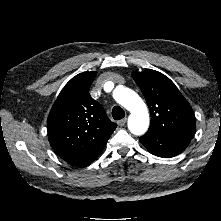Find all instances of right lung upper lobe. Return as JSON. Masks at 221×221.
I'll use <instances>...</instances> for the list:
<instances>
[{
  "label": "right lung upper lobe",
  "instance_id": "1",
  "mask_svg": "<svg viewBox=\"0 0 221 221\" xmlns=\"http://www.w3.org/2000/svg\"><path fill=\"white\" fill-rule=\"evenodd\" d=\"M96 74L83 72L73 77L60 92L47 119L51 147L74 166L93 162L117 127L89 94Z\"/></svg>",
  "mask_w": 221,
  "mask_h": 221
}]
</instances>
